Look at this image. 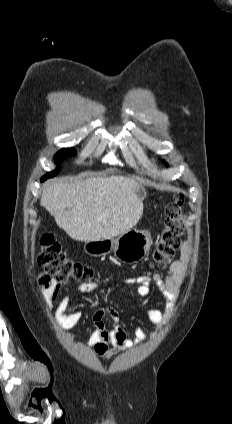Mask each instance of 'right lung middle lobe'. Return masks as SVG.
Masks as SVG:
<instances>
[{
    "label": "right lung middle lobe",
    "mask_w": 232,
    "mask_h": 424,
    "mask_svg": "<svg viewBox=\"0 0 232 424\" xmlns=\"http://www.w3.org/2000/svg\"><path fill=\"white\" fill-rule=\"evenodd\" d=\"M76 151L74 149H63L60 150L57 154H56V158L60 161L61 159L67 157V156H72L73 154H75ZM60 165H57V169L55 171L52 172H48L45 176L42 177L41 181L46 180L47 178L53 177L58 173V169H59Z\"/></svg>",
    "instance_id": "dd1d6c3e"
}]
</instances>
